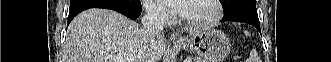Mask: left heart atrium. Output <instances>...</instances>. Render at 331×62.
<instances>
[{
    "mask_svg": "<svg viewBox=\"0 0 331 62\" xmlns=\"http://www.w3.org/2000/svg\"><path fill=\"white\" fill-rule=\"evenodd\" d=\"M189 0H160L171 13L184 16L187 13Z\"/></svg>",
    "mask_w": 331,
    "mask_h": 62,
    "instance_id": "1",
    "label": "left heart atrium"
}]
</instances>
